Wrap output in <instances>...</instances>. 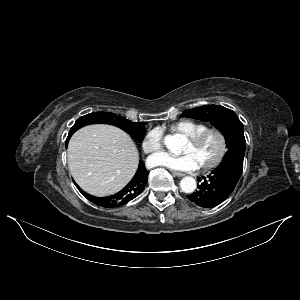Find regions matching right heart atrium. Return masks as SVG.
<instances>
[{"label":"right heart atrium","instance_id":"1","mask_svg":"<svg viewBox=\"0 0 300 300\" xmlns=\"http://www.w3.org/2000/svg\"><path fill=\"white\" fill-rule=\"evenodd\" d=\"M163 134L159 128L149 130L143 140L142 149L146 154H155L162 149Z\"/></svg>","mask_w":300,"mask_h":300}]
</instances>
